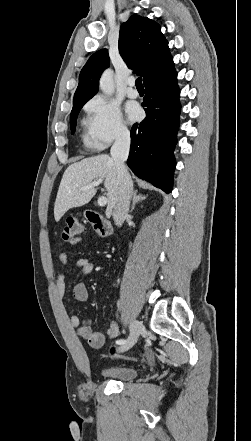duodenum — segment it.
Listing matches in <instances>:
<instances>
[{
    "label": "duodenum",
    "mask_w": 251,
    "mask_h": 441,
    "mask_svg": "<svg viewBox=\"0 0 251 441\" xmlns=\"http://www.w3.org/2000/svg\"><path fill=\"white\" fill-rule=\"evenodd\" d=\"M85 216L100 237L106 238L112 234L111 224L101 214L94 210H87Z\"/></svg>",
    "instance_id": "410a0bca"
}]
</instances>
